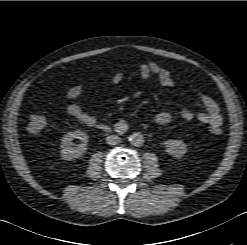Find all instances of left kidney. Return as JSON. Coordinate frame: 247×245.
I'll return each mask as SVG.
<instances>
[{
  "mask_svg": "<svg viewBox=\"0 0 247 245\" xmlns=\"http://www.w3.org/2000/svg\"><path fill=\"white\" fill-rule=\"evenodd\" d=\"M166 151L176 158L182 157L187 151V145L182 140L170 139L165 142Z\"/></svg>",
  "mask_w": 247,
  "mask_h": 245,
  "instance_id": "obj_1",
  "label": "left kidney"
}]
</instances>
